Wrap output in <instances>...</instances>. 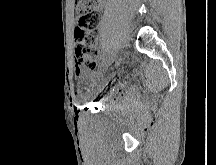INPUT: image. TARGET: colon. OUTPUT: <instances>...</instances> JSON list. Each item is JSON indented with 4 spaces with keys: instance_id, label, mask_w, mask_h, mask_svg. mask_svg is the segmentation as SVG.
<instances>
[{
    "instance_id": "1",
    "label": "colon",
    "mask_w": 216,
    "mask_h": 165,
    "mask_svg": "<svg viewBox=\"0 0 216 165\" xmlns=\"http://www.w3.org/2000/svg\"><path fill=\"white\" fill-rule=\"evenodd\" d=\"M103 0H75L78 21L74 31L75 62L79 68L94 71L98 68L96 41L100 22L99 8Z\"/></svg>"
}]
</instances>
